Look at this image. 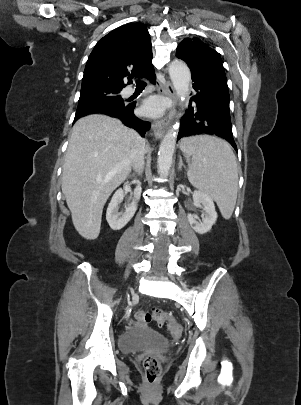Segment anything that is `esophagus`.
Segmentation results:
<instances>
[{
  "mask_svg": "<svg viewBox=\"0 0 301 405\" xmlns=\"http://www.w3.org/2000/svg\"><path fill=\"white\" fill-rule=\"evenodd\" d=\"M157 92H158V94L165 95V96L169 97L170 99L174 100V98H175V91H174L173 85L171 84L170 81H166L164 84L158 85ZM175 116H176V110L174 107H172L164 118L157 120L153 123V133L157 139H160L163 137L168 125L175 118Z\"/></svg>",
  "mask_w": 301,
  "mask_h": 405,
  "instance_id": "1",
  "label": "esophagus"
}]
</instances>
